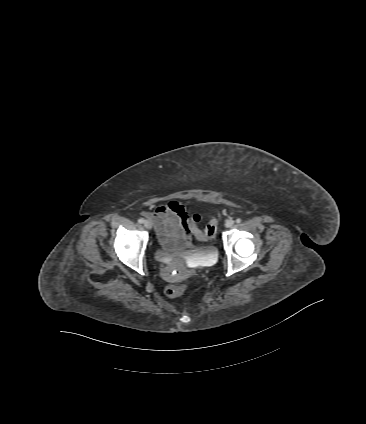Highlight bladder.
Instances as JSON below:
<instances>
[{
  "label": "bladder",
  "instance_id": "1",
  "mask_svg": "<svg viewBox=\"0 0 366 424\" xmlns=\"http://www.w3.org/2000/svg\"><path fill=\"white\" fill-rule=\"evenodd\" d=\"M216 253V248L213 246H203L194 249L190 254L197 258H205L207 256H212ZM156 260L165 261L171 257V254L166 253L160 249H157L154 253Z\"/></svg>",
  "mask_w": 366,
  "mask_h": 424
}]
</instances>
